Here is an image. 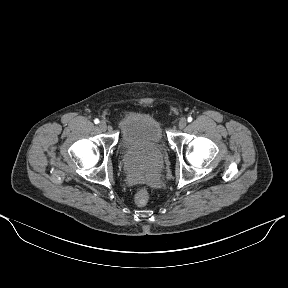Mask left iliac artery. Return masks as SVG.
<instances>
[{
  "label": "left iliac artery",
  "instance_id": "44dca946",
  "mask_svg": "<svg viewBox=\"0 0 288 288\" xmlns=\"http://www.w3.org/2000/svg\"><path fill=\"white\" fill-rule=\"evenodd\" d=\"M192 120H193L192 117H188V118H187V121H188V122H191Z\"/></svg>",
  "mask_w": 288,
  "mask_h": 288
}]
</instances>
